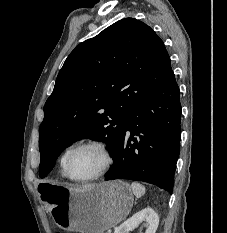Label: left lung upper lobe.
<instances>
[{"label":"left lung upper lobe","mask_w":227,"mask_h":233,"mask_svg":"<svg viewBox=\"0 0 227 233\" xmlns=\"http://www.w3.org/2000/svg\"><path fill=\"white\" fill-rule=\"evenodd\" d=\"M172 71L163 41L145 23L125 18L79 44L59 71L44 106L40 177L74 141H104L114 157L131 109Z\"/></svg>","instance_id":"1"}]
</instances>
